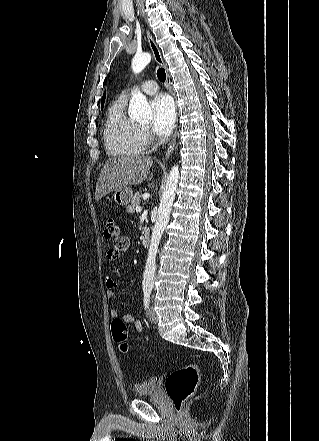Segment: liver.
<instances>
[{"label":"liver","mask_w":319,"mask_h":441,"mask_svg":"<svg viewBox=\"0 0 319 441\" xmlns=\"http://www.w3.org/2000/svg\"><path fill=\"white\" fill-rule=\"evenodd\" d=\"M152 163L151 157L146 156L109 158L100 173L96 185V201H99L110 192L145 181L149 175ZM151 178L152 174L149 180Z\"/></svg>","instance_id":"liver-1"}]
</instances>
